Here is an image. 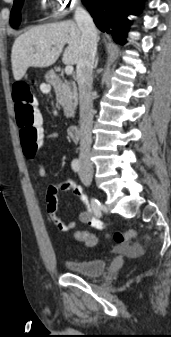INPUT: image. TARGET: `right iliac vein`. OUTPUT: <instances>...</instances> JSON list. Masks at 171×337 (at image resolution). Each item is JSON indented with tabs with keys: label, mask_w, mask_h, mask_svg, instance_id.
<instances>
[{
	"label": "right iliac vein",
	"mask_w": 171,
	"mask_h": 337,
	"mask_svg": "<svg viewBox=\"0 0 171 337\" xmlns=\"http://www.w3.org/2000/svg\"><path fill=\"white\" fill-rule=\"evenodd\" d=\"M87 172L91 174L92 170L90 168H87Z\"/></svg>",
	"instance_id": "obj_1"
}]
</instances>
